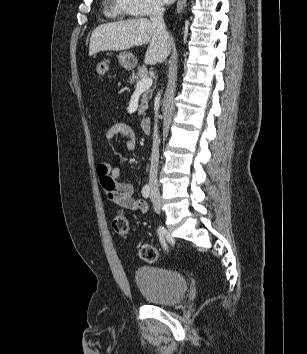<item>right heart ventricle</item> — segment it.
I'll use <instances>...</instances> for the list:
<instances>
[{
    "label": "right heart ventricle",
    "instance_id": "1",
    "mask_svg": "<svg viewBox=\"0 0 307 354\" xmlns=\"http://www.w3.org/2000/svg\"><path fill=\"white\" fill-rule=\"evenodd\" d=\"M106 14L111 17H123L132 15L122 0H108Z\"/></svg>",
    "mask_w": 307,
    "mask_h": 354
}]
</instances>
